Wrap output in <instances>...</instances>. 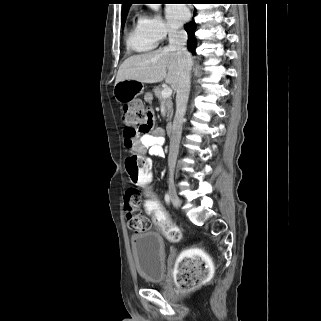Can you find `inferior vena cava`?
Masks as SVG:
<instances>
[{
	"instance_id": "602c4592",
	"label": "inferior vena cava",
	"mask_w": 321,
	"mask_h": 321,
	"mask_svg": "<svg viewBox=\"0 0 321 321\" xmlns=\"http://www.w3.org/2000/svg\"><path fill=\"white\" fill-rule=\"evenodd\" d=\"M169 48L177 52L179 56L180 77L176 87V112L173 120L172 133L170 136V148L168 156L169 173L172 176L179 151V144L182 133L183 118L186 112L189 91L191 55L187 51V33L184 30H169Z\"/></svg>"
}]
</instances>
